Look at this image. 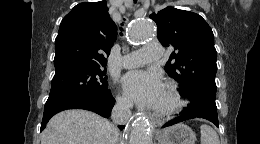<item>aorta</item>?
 Wrapping results in <instances>:
<instances>
[{"mask_svg":"<svg viewBox=\"0 0 260 144\" xmlns=\"http://www.w3.org/2000/svg\"><path fill=\"white\" fill-rule=\"evenodd\" d=\"M153 33L152 22L146 19L135 21L129 28V41L132 44H141L152 38ZM129 144H152L148 119L137 117L132 121Z\"/></svg>","mask_w":260,"mask_h":144,"instance_id":"762f6f07","label":"aorta"}]
</instances>
